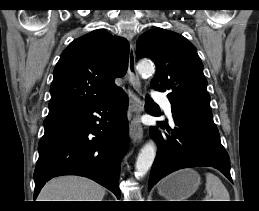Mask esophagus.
Returning a JSON list of instances; mask_svg holds the SVG:
<instances>
[{
    "instance_id": "obj_1",
    "label": "esophagus",
    "mask_w": 259,
    "mask_h": 211,
    "mask_svg": "<svg viewBox=\"0 0 259 211\" xmlns=\"http://www.w3.org/2000/svg\"><path fill=\"white\" fill-rule=\"evenodd\" d=\"M128 77L131 86V89L129 90V99L134 119V123L130 129V138L133 143H139L143 138V128L139 122L142 109V101L139 96L141 84L136 71L135 50L132 41L130 42L129 48Z\"/></svg>"
}]
</instances>
